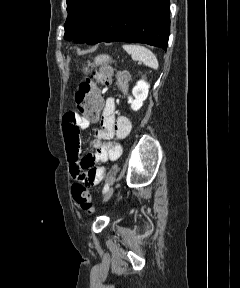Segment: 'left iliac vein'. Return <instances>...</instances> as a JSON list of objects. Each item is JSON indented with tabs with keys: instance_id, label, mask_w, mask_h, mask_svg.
<instances>
[{
	"instance_id": "left-iliac-vein-1",
	"label": "left iliac vein",
	"mask_w": 240,
	"mask_h": 288,
	"mask_svg": "<svg viewBox=\"0 0 240 288\" xmlns=\"http://www.w3.org/2000/svg\"><path fill=\"white\" fill-rule=\"evenodd\" d=\"M113 192H114V188L111 187V188L106 192V194H105V196H104V198H103V202L108 201V200L111 198V196L113 195Z\"/></svg>"
}]
</instances>
